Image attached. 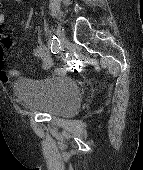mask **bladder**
Masks as SVG:
<instances>
[{
	"instance_id": "obj_1",
	"label": "bladder",
	"mask_w": 143,
	"mask_h": 170,
	"mask_svg": "<svg viewBox=\"0 0 143 170\" xmlns=\"http://www.w3.org/2000/svg\"><path fill=\"white\" fill-rule=\"evenodd\" d=\"M22 107L57 117L74 116L81 105L77 82L66 75L40 79L20 77L13 84Z\"/></svg>"
}]
</instances>
